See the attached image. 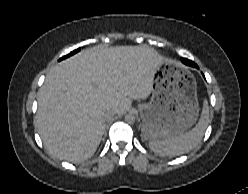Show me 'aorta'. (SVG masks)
Instances as JSON below:
<instances>
[{
	"instance_id": "762f6f07",
	"label": "aorta",
	"mask_w": 248,
	"mask_h": 194,
	"mask_svg": "<svg viewBox=\"0 0 248 194\" xmlns=\"http://www.w3.org/2000/svg\"><path fill=\"white\" fill-rule=\"evenodd\" d=\"M135 115L134 114H127L125 116V121L129 124H133L135 122Z\"/></svg>"
}]
</instances>
